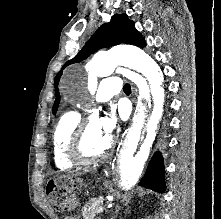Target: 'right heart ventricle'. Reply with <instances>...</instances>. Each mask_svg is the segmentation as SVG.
Returning <instances> with one entry per match:
<instances>
[{"mask_svg": "<svg viewBox=\"0 0 221 219\" xmlns=\"http://www.w3.org/2000/svg\"><path fill=\"white\" fill-rule=\"evenodd\" d=\"M81 122V115L77 111L63 113L54 126L52 134V151L55 166L60 170L71 168L74 163L67 155L68 145L73 133Z\"/></svg>", "mask_w": 221, "mask_h": 219, "instance_id": "right-heart-ventricle-1", "label": "right heart ventricle"}]
</instances>
